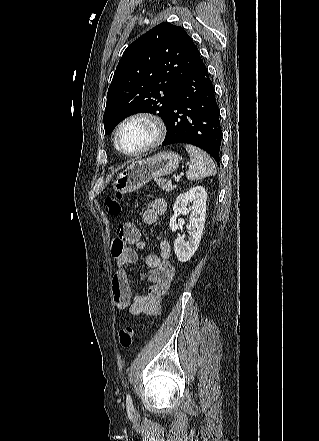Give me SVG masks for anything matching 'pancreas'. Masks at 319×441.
I'll return each mask as SVG.
<instances>
[{
	"label": "pancreas",
	"instance_id": "cf45deb5",
	"mask_svg": "<svg viewBox=\"0 0 319 441\" xmlns=\"http://www.w3.org/2000/svg\"><path fill=\"white\" fill-rule=\"evenodd\" d=\"M155 182L159 187H161V189L166 192H170L175 189V186L172 185L170 182H167L165 179H156Z\"/></svg>",
	"mask_w": 319,
	"mask_h": 441
}]
</instances>
